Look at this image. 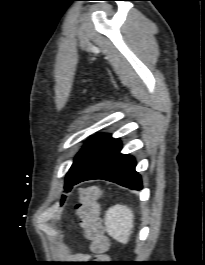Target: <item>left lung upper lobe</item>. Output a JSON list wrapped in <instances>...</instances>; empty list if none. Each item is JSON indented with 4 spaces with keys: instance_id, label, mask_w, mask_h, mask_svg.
I'll use <instances>...</instances> for the list:
<instances>
[{
    "instance_id": "obj_1",
    "label": "left lung upper lobe",
    "mask_w": 205,
    "mask_h": 265,
    "mask_svg": "<svg viewBox=\"0 0 205 265\" xmlns=\"http://www.w3.org/2000/svg\"><path fill=\"white\" fill-rule=\"evenodd\" d=\"M113 140L109 134H105L91 138L86 142L67 173L64 186L66 192L71 190L73 181ZM64 199L65 196H62L61 203Z\"/></svg>"
}]
</instances>
